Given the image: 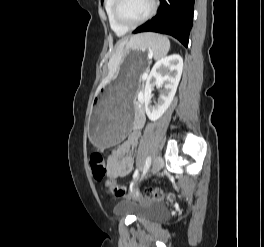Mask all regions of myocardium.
Instances as JSON below:
<instances>
[{"mask_svg": "<svg viewBox=\"0 0 264 247\" xmlns=\"http://www.w3.org/2000/svg\"><path fill=\"white\" fill-rule=\"evenodd\" d=\"M123 0H115L114 5H113V16L115 21L122 27L126 29H134L145 22H147L155 13L157 5H156V0H150V9L147 12V14L141 18L140 20L136 22H128L125 20L122 15H121V5H122Z\"/></svg>", "mask_w": 264, "mask_h": 247, "instance_id": "1", "label": "myocardium"}]
</instances>
